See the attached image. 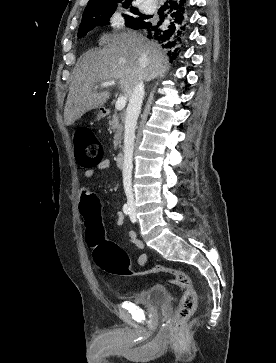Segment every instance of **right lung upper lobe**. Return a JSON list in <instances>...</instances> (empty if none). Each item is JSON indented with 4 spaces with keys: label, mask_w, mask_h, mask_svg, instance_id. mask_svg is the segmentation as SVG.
<instances>
[{
    "label": "right lung upper lobe",
    "mask_w": 276,
    "mask_h": 363,
    "mask_svg": "<svg viewBox=\"0 0 276 363\" xmlns=\"http://www.w3.org/2000/svg\"><path fill=\"white\" fill-rule=\"evenodd\" d=\"M114 1H124V2H131L132 3L134 0H90L87 7L92 6V5L101 4V3L114 2ZM145 19H146V17H145ZM145 19H144V22H146Z\"/></svg>",
    "instance_id": "right-lung-upper-lobe-1"
}]
</instances>
